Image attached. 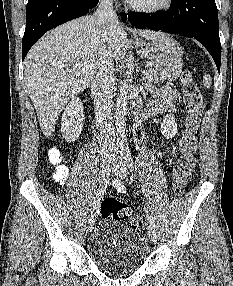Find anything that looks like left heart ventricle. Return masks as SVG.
Listing matches in <instances>:
<instances>
[{
	"instance_id": "left-heart-ventricle-1",
	"label": "left heart ventricle",
	"mask_w": 233,
	"mask_h": 286,
	"mask_svg": "<svg viewBox=\"0 0 233 286\" xmlns=\"http://www.w3.org/2000/svg\"><path fill=\"white\" fill-rule=\"evenodd\" d=\"M163 0H134L133 2L144 6H155L162 2Z\"/></svg>"
}]
</instances>
